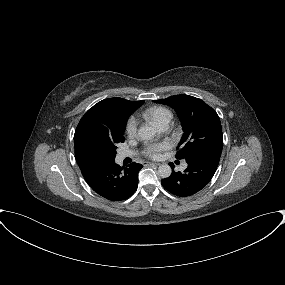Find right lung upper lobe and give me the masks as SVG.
Instances as JSON below:
<instances>
[{
    "label": "right lung upper lobe",
    "instance_id": "cb5924a9",
    "mask_svg": "<svg viewBox=\"0 0 285 285\" xmlns=\"http://www.w3.org/2000/svg\"><path fill=\"white\" fill-rule=\"evenodd\" d=\"M143 103L118 97L109 98L98 102L84 114L74 134L75 157L80 170L98 164L83 155L84 140L94 134L117 132Z\"/></svg>",
    "mask_w": 285,
    "mask_h": 285
}]
</instances>
